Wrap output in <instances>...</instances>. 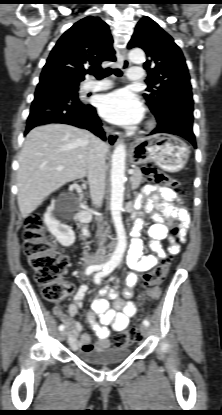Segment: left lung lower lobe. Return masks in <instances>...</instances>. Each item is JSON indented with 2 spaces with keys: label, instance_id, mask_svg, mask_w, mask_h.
I'll return each instance as SVG.
<instances>
[{
  "label": "left lung lower lobe",
  "instance_id": "0a47b994",
  "mask_svg": "<svg viewBox=\"0 0 222 415\" xmlns=\"http://www.w3.org/2000/svg\"><path fill=\"white\" fill-rule=\"evenodd\" d=\"M176 97L166 98L165 101L170 102L172 99L178 98L182 105L180 115L169 116L163 115L161 118H156L158 126L151 132L169 133L181 136L187 139L196 147L195 135L193 133V99L192 92L189 89H181L180 92L174 94Z\"/></svg>",
  "mask_w": 222,
  "mask_h": 415
}]
</instances>
